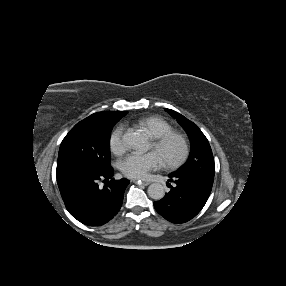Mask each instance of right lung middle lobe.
Masks as SVG:
<instances>
[{"label": "right lung middle lobe", "instance_id": "right-lung-middle-lobe-1", "mask_svg": "<svg viewBox=\"0 0 286 286\" xmlns=\"http://www.w3.org/2000/svg\"><path fill=\"white\" fill-rule=\"evenodd\" d=\"M126 113L76 124L61 143L57 173L73 168L109 167L111 131Z\"/></svg>", "mask_w": 286, "mask_h": 286}]
</instances>
